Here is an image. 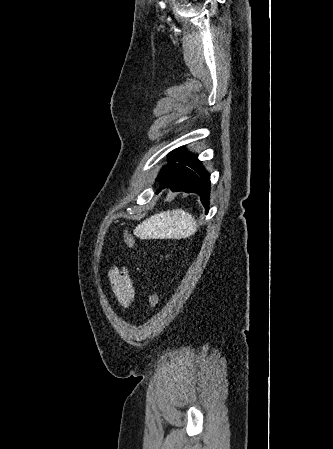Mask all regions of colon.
<instances>
[{"label":"colon","mask_w":333,"mask_h":449,"mask_svg":"<svg viewBox=\"0 0 333 449\" xmlns=\"http://www.w3.org/2000/svg\"><path fill=\"white\" fill-rule=\"evenodd\" d=\"M123 239L129 248L134 249V250L137 249L136 239L130 232L124 231ZM148 303L151 308H154L159 304V296L156 292H151L149 294Z\"/></svg>","instance_id":"5ec220e1"}]
</instances>
